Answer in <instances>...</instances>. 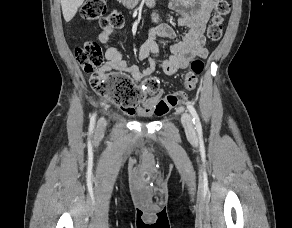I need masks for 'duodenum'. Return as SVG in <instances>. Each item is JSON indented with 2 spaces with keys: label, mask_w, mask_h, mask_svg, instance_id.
<instances>
[{
  "label": "duodenum",
  "mask_w": 292,
  "mask_h": 228,
  "mask_svg": "<svg viewBox=\"0 0 292 228\" xmlns=\"http://www.w3.org/2000/svg\"><path fill=\"white\" fill-rule=\"evenodd\" d=\"M128 7H135L140 4H148L151 0H121Z\"/></svg>",
  "instance_id": "1"
}]
</instances>
